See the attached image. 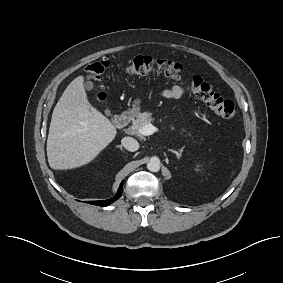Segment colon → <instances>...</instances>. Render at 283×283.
Wrapping results in <instances>:
<instances>
[{
	"label": "colon",
	"instance_id": "5ec220e1",
	"mask_svg": "<svg viewBox=\"0 0 283 283\" xmlns=\"http://www.w3.org/2000/svg\"><path fill=\"white\" fill-rule=\"evenodd\" d=\"M111 65L108 59H101L86 67V77L93 83L90 97L98 102L106 98L105 87L102 84V74ZM129 75H146L151 72L162 73L165 76L187 85L191 91L217 115L226 120H232L236 115L233 102L225 100L199 76L187 77L182 65L170 60L154 59L149 56H138L130 60L124 67Z\"/></svg>",
	"mask_w": 283,
	"mask_h": 283
}]
</instances>
